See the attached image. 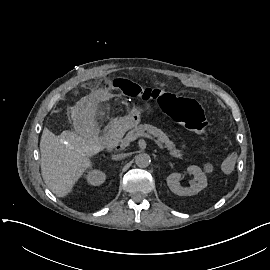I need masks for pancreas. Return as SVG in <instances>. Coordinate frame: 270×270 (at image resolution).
Returning a JSON list of instances; mask_svg holds the SVG:
<instances>
[{"mask_svg":"<svg viewBox=\"0 0 270 270\" xmlns=\"http://www.w3.org/2000/svg\"><path fill=\"white\" fill-rule=\"evenodd\" d=\"M145 131L157 137L158 141L160 143H163L164 147L169 150L170 155H172L173 157L182 158L181 151L176 149L175 144L170 141L168 136L157 127L149 124H140L138 126H135L132 130V132L137 133L138 136L142 135Z\"/></svg>","mask_w":270,"mask_h":270,"instance_id":"1","label":"pancreas"}]
</instances>
